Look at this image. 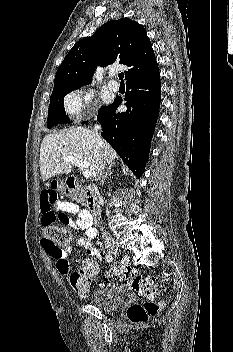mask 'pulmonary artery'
Returning a JSON list of instances; mask_svg holds the SVG:
<instances>
[{
    "label": "pulmonary artery",
    "mask_w": 233,
    "mask_h": 352,
    "mask_svg": "<svg viewBox=\"0 0 233 352\" xmlns=\"http://www.w3.org/2000/svg\"><path fill=\"white\" fill-rule=\"evenodd\" d=\"M108 87L113 91H117L119 89V83L112 79L108 82Z\"/></svg>",
    "instance_id": "pulmonary-artery-1"
}]
</instances>
